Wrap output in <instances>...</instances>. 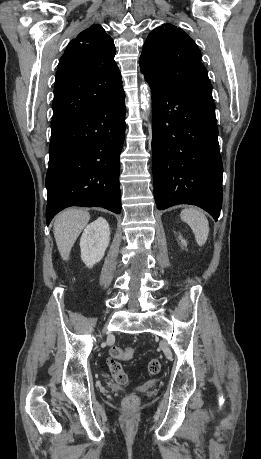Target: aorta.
I'll return each instance as SVG.
<instances>
[{
	"mask_svg": "<svg viewBox=\"0 0 261 459\" xmlns=\"http://www.w3.org/2000/svg\"><path fill=\"white\" fill-rule=\"evenodd\" d=\"M140 98H141V107L143 109V115L147 116L151 112V96L147 84H142L140 86Z\"/></svg>",
	"mask_w": 261,
	"mask_h": 459,
	"instance_id": "obj_1",
	"label": "aorta"
}]
</instances>
